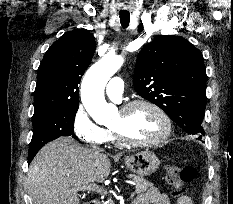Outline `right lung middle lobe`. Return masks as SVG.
<instances>
[{"label":"right lung middle lobe","mask_w":233,"mask_h":204,"mask_svg":"<svg viewBox=\"0 0 233 204\" xmlns=\"http://www.w3.org/2000/svg\"><path fill=\"white\" fill-rule=\"evenodd\" d=\"M78 105L65 107H51L35 111L33 115V137L30 148H41L47 142L60 136H72L74 134V119Z\"/></svg>","instance_id":"1"}]
</instances>
